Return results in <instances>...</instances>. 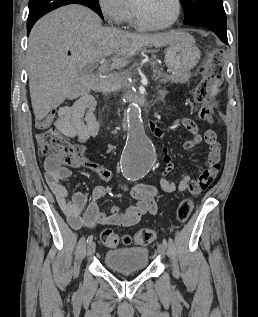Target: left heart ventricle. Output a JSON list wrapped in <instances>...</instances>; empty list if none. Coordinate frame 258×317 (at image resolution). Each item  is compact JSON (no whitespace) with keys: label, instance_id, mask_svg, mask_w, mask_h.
Listing matches in <instances>:
<instances>
[{"label":"left heart ventricle","instance_id":"b2bd125f","mask_svg":"<svg viewBox=\"0 0 258 317\" xmlns=\"http://www.w3.org/2000/svg\"><path fill=\"white\" fill-rule=\"evenodd\" d=\"M176 15V5L172 0H153L147 3L141 18L145 26L157 27L168 24Z\"/></svg>","mask_w":258,"mask_h":317}]
</instances>
